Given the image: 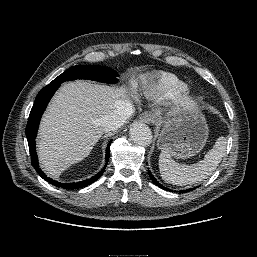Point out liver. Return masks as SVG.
<instances>
[{"mask_svg": "<svg viewBox=\"0 0 257 257\" xmlns=\"http://www.w3.org/2000/svg\"><path fill=\"white\" fill-rule=\"evenodd\" d=\"M129 104L127 89L77 80L64 84L45 112L39 129L42 168L58 176L87 157L105 130L100 119Z\"/></svg>", "mask_w": 257, "mask_h": 257, "instance_id": "1", "label": "liver"}]
</instances>
